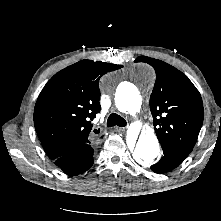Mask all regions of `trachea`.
<instances>
[{"label":"trachea","instance_id":"trachea-1","mask_svg":"<svg viewBox=\"0 0 221 221\" xmlns=\"http://www.w3.org/2000/svg\"><path fill=\"white\" fill-rule=\"evenodd\" d=\"M126 124H127L126 120L116 113H111L107 120L108 127H113L115 125L120 126V127H125Z\"/></svg>","mask_w":221,"mask_h":221}]
</instances>
